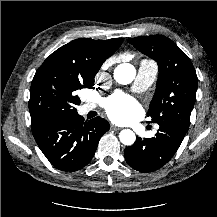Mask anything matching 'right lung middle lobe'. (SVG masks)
Here are the masks:
<instances>
[{"label": "right lung middle lobe", "instance_id": "right-lung-middle-lobe-1", "mask_svg": "<svg viewBox=\"0 0 217 217\" xmlns=\"http://www.w3.org/2000/svg\"><path fill=\"white\" fill-rule=\"evenodd\" d=\"M93 77H79L57 66H41L32 80L29 110L31 122L77 113L76 95L82 88H93Z\"/></svg>", "mask_w": 217, "mask_h": 217}]
</instances>
